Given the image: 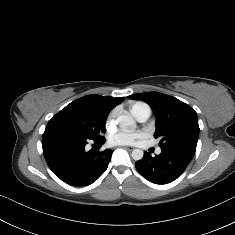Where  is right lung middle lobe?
Returning <instances> with one entry per match:
<instances>
[{"instance_id":"dd1d6c3e","label":"right lung middle lobe","mask_w":235,"mask_h":235,"mask_svg":"<svg viewBox=\"0 0 235 235\" xmlns=\"http://www.w3.org/2000/svg\"><path fill=\"white\" fill-rule=\"evenodd\" d=\"M108 113L86 106H66L52 117L49 124L59 125L90 139H104L105 122Z\"/></svg>"}]
</instances>
